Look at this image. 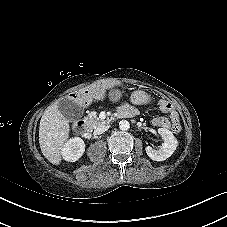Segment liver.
Listing matches in <instances>:
<instances>
[{
	"label": "liver",
	"mask_w": 227,
	"mask_h": 227,
	"mask_svg": "<svg viewBox=\"0 0 227 227\" xmlns=\"http://www.w3.org/2000/svg\"><path fill=\"white\" fill-rule=\"evenodd\" d=\"M69 121L59 111L58 104L50 105L40 120L39 144L44 157L52 164L61 162V149L68 141Z\"/></svg>",
	"instance_id": "liver-1"
}]
</instances>
